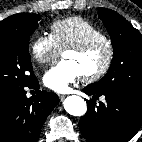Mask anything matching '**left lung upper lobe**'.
<instances>
[{
	"mask_svg": "<svg viewBox=\"0 0 142 142\" xmlns=\"http://www.w3.org/2000/svg\"><path fill=\"white\" fill-rule=\"evenodd\" d=\"M111 37L114 55L107 74L89 86L98 91L126 90L142 94V35L117 12L98 8Z\"/></svg>",
	"mask_w": 142,
	"mask_h": 142,
	"instance_id": "5c2ea615",
	"label": "left lung upper lobe"
}]
</instances>
